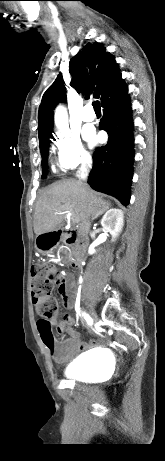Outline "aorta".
Listing matches in <instances>:
<instances>
[{
  "instance_id": "aorta-1",
  "label": "aorta",
  "mask_w": 165,
  "mask_h": 461,
  "mask_svg": "<svg viewBox=\"0 0 165 461\" xmlns=\"http://www.w3.org/2000/svg\"><path fill=\"white\" fill-rule=\"evenodd\" d=\"M55 125L56 127L63 131L67 128L68 126V118H67V113L66 109L59 105L56 110H55V117H54Z\"/></svg>"
}]
</instances>
